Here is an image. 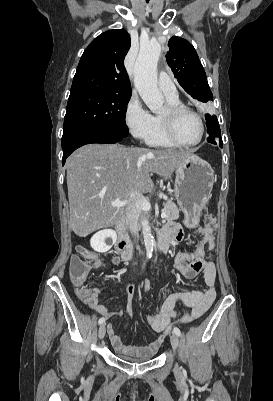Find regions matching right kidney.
Masks as SVG:
<instances>
[{
	"label": "right kidney",
	"mask_w": 273,
	"mask_h": 401,
	"mask_svg": "<svg viewBox=\"0 0 273 401\" xmlns=\"http://www.w3.org/2000/svg\"><path fill=\"white\" fill-rule=\"evenodd\" d=\"M117 235L112 229H104V231H98L90 239V245L97 253H107L116 243Z\"/></svg>",
	"instance_id": "right-kidney-1"
}]
</instances>
